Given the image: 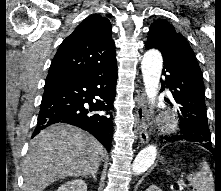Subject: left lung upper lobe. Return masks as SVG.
<instances>
[{
  "label": "left lung upper lobe",
  "instance_id": "left-lung-upper-lobe-1",
  "mask_svg": "<svg viewBox=\"0 0 221 191\" xmlns=\"http://www.w3.org/2000/svg\"><path fill=\"white\" fill-rule=\"evenodd\" d=\"M146 48L158 49L164 59H175L184 53L183 49L192 51L185 37L177 33L174 27L164 19H158L151 24ZM198 143L203 146L212 147L210 132L208 138L202 139Z\"/></svg>",
  "mask_w": 221,
  "mask_h": 191
}]
</instances>
